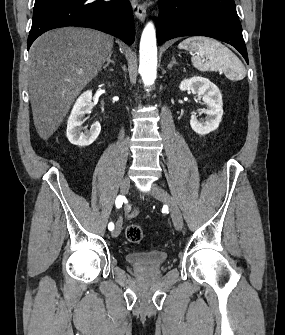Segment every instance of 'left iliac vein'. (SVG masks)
I'll return each mask as SVG.
<instances>
[{"instance_id":"left-iliac-vein-1","label":"left iliac vein","mask_w":285,"mask_h":335,"mask_svg":"<svg viewBox=\"0 0 285 335\" xmlns=\"http://www.w3.org/2000/svg\"><path fill=\"white\" fill-rule=\"evenodd\" d=\"M151 193L156 197V199L161 200L168 205L175 228L177 230H181L183 228V218L174 199L165 190L158 187L157 185H152Z\"/></svg>"}]
</instances>
